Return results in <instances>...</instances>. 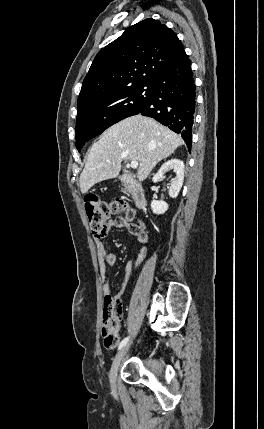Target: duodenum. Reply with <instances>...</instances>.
Masks as SVG:
<instances>
[{
    "instance_id": "obj_1",
    "label": "duodenum",
    "mask_w": 264,
    "mask_h": 429,
    "mask_svg": "<svg viewBox=\"0 0 264 429\" xmlns=\"http://www.w3.org/2000/svg\"><path fill=\"white\" fill-rule=\"evenodd\" d=\"M119 179L127 185L135 206L140 210L144 209L146 207V196L141 185L132 177L127 175H122Z\"/></svg>"
}]
</instances>
